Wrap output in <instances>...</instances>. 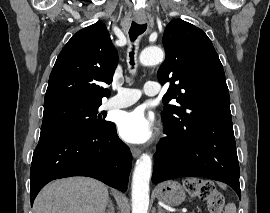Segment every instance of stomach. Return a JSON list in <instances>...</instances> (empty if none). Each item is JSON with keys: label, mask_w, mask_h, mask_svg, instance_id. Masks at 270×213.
Wrapping results in <instances>:
<instances>
[{"label": "stomach", "mask_w": 270, "mask_h": 213, "mask_svg": "<svg viewBox=\"0 0 270 213\" xmlns=\"http://www.w3.org/2000/svg\"><path fill=\"white\" fill-rule=\"evenodd\" d=\"M158 200L171 206H177L185 200V192L177 181H166L157 186Z\"/></svg>", "instance_id": "obj_1"}]
</instances>
